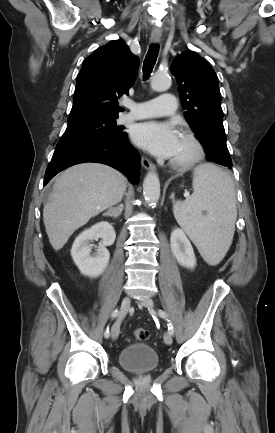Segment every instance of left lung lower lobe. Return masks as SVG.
Wrapping results in <instances>:
<instances>
[{"label":"left lung lower lobe","instance_id":"left-lung-lower-lobe-1","mask_svg":"<svg viewBox=\"0 0 275 433\" xmlns=\"http://www.w3.org/2000/svg\"><path fill=\"white\" fill-rule=\"evenodd\" d=\"M223 166H226V167H228V168H231V167H232V163H227V164H224Z\"/></svg>","mask_w":275,"mask_h":433}]
</instances>
